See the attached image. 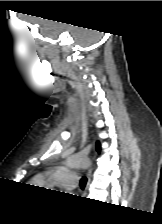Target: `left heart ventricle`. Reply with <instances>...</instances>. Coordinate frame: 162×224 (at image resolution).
<instances>
[{"label": "left heart ventricle", "mask_w": 162, "mask_h": 224, "mask_svg": "<svg viewBox=\"0 0 162 224\" xmlns=\"http://www.w3.org/2000/svg\"><path fill=\"white\" fill-rule=\"evenodd\" d=\"M57 186H59V187H64V186H61V185H58V184H56ZM66 188V187H65Z\"/></svg>", "instance_id": "left-heart-ventricle-1"}]
</instances>
